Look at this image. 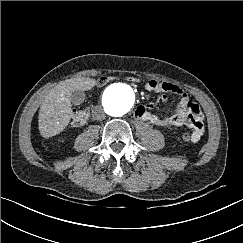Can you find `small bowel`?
Segmentation results:
<instances>
[{
	"label": "small bowel",
	"mask_w": 243,
	"mask_h": 243,
	"mask_svg": "<svg viewBox=\"0 0 243 243\" xmlns=\"http://www.w3.org/2000/svg\"><path fill=\"white\" fill-rule=\"evenodd\" d=\"M145 88L158 93L162 101L167 100L168 93L173 94L178 98V103L173 112L163 117L152 113L154 104L147 103L137 108V117L159 127L185 125L191 129L193 143H197L201 139L205 131L204 115L200 107L180 87L168 82L150 80L146 83Z\"/></svg>",
	"instance_id": "1"
}]
</instances>
